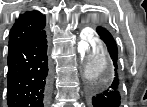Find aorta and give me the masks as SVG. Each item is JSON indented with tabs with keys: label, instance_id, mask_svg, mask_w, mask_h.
Here are the masks:
<instances>
[{
	"label": "aorta",
	"instance_id": "obj_1",
	"mask_svg": "<svg viewBox=\"0 0 147 107\" xmlns=\"http://www.w3.org/2000/svg\"><path fill=\"white\" fill-rule=\"evenodd\" d=\"M78 51L84 63V76L88 84L105 83L111 79L114 69L106 47L90 29L82 33Z\"/></svg>",
	"mask_w": 147,
	"mask_h": 107
}]
</instances>
